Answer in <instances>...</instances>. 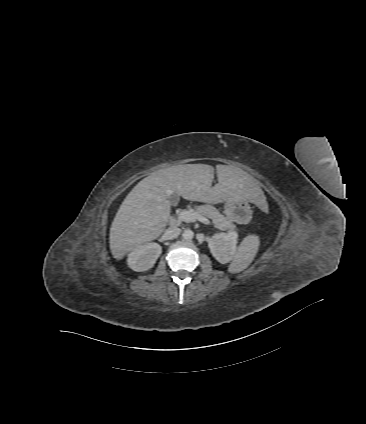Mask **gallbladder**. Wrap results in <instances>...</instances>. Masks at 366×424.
<instances>
[{
	"label": "gallbladder",
	"instance_id": "bac80fb5",
	"mask_svg": "<svg viewBox=\"0 0 366 424\" xmlns=\"http://www.w3.org/2000/svg\"><path fill=\"white\" fill-rule=\"evenodd\" d=\"M169 201L171 202V204H175L178 201V196L176 194L172 195L169 198Z\"/></svg>",
	"mask_w": 366,
	"mask_h": 424
}]
</instances>
